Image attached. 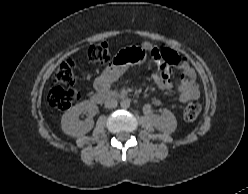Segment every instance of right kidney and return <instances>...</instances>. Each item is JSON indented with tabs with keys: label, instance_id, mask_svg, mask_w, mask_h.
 Returning <instances> with one entry per match:
<instances>
[{
	"label": "right kidney",
	"instance_id": "1",
	"mask_svg": "<svg viewBox=\"0 0 248 194\" xmlns=\"http://www.w3.org/2000/svg\"><path fill=\"white\" fill-rule=\"evenodd\" d=\"M88 112V117L84 121L79 119V115ZM98 113V106L90 101H83L70 109L62 116L61 127L65 134L78 137L88 133L94 126L93 116Z\"/></svg>",
	"mask_w": 248,
	"mask_h": 194
}]
</instances>
